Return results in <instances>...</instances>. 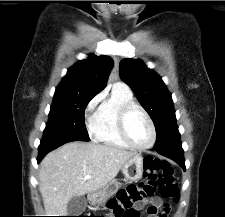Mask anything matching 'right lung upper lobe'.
Instances as JSON below:
<instances>
[{
	"label": "right lung upper lobe",
	"mask_w": 225,
	"mask_h": 217,
	"mask_svg": "<svg viewBox=\"0 0 225 217\" xmlns=\"http://www.w3.org/2000/svg\"><path fill=\"white\" fill-rule=\"evenodd\" d=\"M112 67L111 57L91 54L68 70L55 95L95 96L105 88Z\"/></svg>",
	"instance_id": "1"
}]
</instances>
